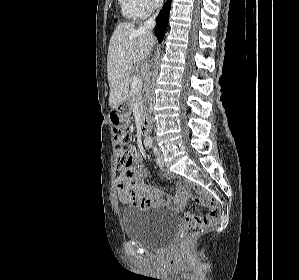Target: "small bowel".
I'll return each mask as SVG.
<instances>
[{"mask_svg":"<svg viewBox=\"0 0 299 280\" xmlns=\"http://www.w3.org/2000/svg\"><path fill=\"white\" fill-rule=\"evenodd\" d=\"M116 180L118 197L122 203L132 204L139 208L152 206H167L174 210H182L190 195L189 185L181 179V186L173 195L165 198L164 193L157 187L144 181L145 168L139 163L138 156H132L131 164L125 168L119 167ZM161 177L165 180L173 178L169 171H163Z\"/></svg>","mask_w":299,"mask_h":280,"instance_id":"c3829d8e","label":"small bowel"}]
</instances>
